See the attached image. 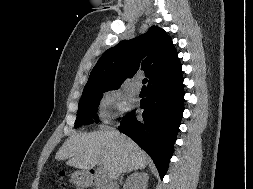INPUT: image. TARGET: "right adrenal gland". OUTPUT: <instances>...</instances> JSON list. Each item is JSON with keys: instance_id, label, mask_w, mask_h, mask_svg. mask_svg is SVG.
Returning a JSON list of instances; mask_svg holds the SVG:
<instances>
[{"instance_id": "obj_1", "label": "right adrenal gland", "mask_w": 253, "mask_h": 189, "mask_svg": "<svg viewBox=\"0 0 253 189\" xmlns=\"http://www.w3.org/2000/svg\"><path fill=\"white\" fill-rule=\"evenodd\" d=\"M127 173H130V172H132V170H128V171H126Z\"/></svg>"}]
</instances>
